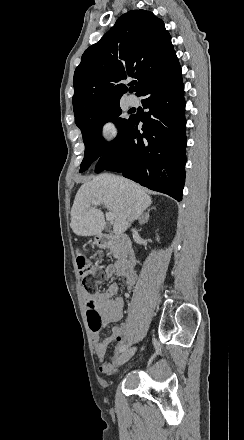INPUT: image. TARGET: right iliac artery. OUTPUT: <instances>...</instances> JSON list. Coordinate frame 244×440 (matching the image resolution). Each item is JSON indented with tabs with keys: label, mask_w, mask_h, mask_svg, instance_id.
<instances>
[{
	"label": "right iliac artery",
	"mask_w": 244,
	"mask_h": 440,
	"mask_svg": "<svg viewBox=\"0 0 244 440\" xmlns=\"http://www.w3.org/2000/svg\"><path fill=\"white\" fill-rule=\"evenodd\" d=\"M128 348V345H123L119 348V352H124Z\"/></svg>",
	"instance_id": "right-iliac-artery-1"
}]
</instances>
